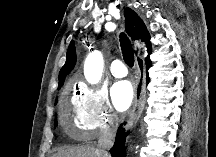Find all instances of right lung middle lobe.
I'll use <instances>...</instances> for the list:
<instances>
[{"label":"right lung middle lobe","instance_id":"right-lung-middle-lobe-1","mask_svg":"<svg viewBox=\"0 0 216 157\" xmlns=\"http://www.w3.org/2000/svg\"><path fill=\"white\" fill-rule=\"evenodd\" d=\"M57 102V101H56ZM55 126H57V121H55Z\"/></svg>","mask_w":216,"mask_h":157}]
</instances>
